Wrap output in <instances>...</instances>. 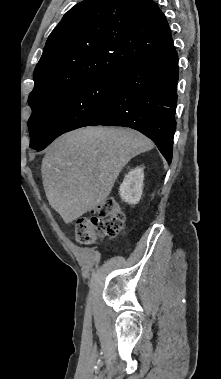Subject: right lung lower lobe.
Returning <instances> with one entry per match:
<instances>
[{
    "label": "right lung lower lobe",
    "instance_id": "obj_1",
    "mask_svg": "<svg viewBox=\"0 0 221 379\" xmlns=\"http://www.w3.org/2000/svg\"><path fill=\"white\" fill-rule=\"evenodd\" d=\"M178 75V56L172 43L120 71L111 102L89 125L138 130L171 163Z\"/></svg>",
    "mask_w": 221,
    "mask_h": 379
}]
</instances>
